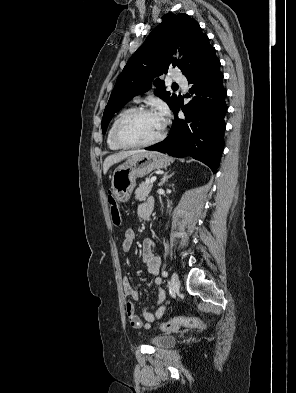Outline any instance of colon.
Here are the masks:
<instances>
[{"mask_svg": "<svg viewBox=\"0 0 296 393\" xmlns=\"http://www.w3.org/2000/svg\"><path fill=\"white\" fill-rule=\"evenodd\" d=\"M108 202L110 206V214H111L112 222L115 226H120L122 222L121 213L118 204L112 194H109ZM204 326L205 323L200 319L178 317V318H173L168 322L161 324L160 327L162 330H175L179 327L201 328Z\"/></svg>", "mask_w": 296, "mask_h": 393, "instance_id": "colon-1", "label": "colon"}]
</instances>
